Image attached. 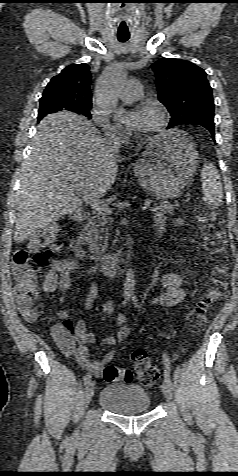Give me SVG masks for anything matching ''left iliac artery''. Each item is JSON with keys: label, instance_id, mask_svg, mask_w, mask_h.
Masks as SVG:
<instances>
[{"label": "left iliac artery", "instance_id": "44dca946", "mask_svg": "<svg viewBox=\"0 0 238 476\" xmlns=\"http://www.w3.org/2000/svg\"><path fill=\"white\" fill-rule=\"evenodd\" d=\"M164 358V381L167 382L171 387H172V381L170 379V365H169V359L166 355H163Z\"/></svg>", "mask_w": 238, "mask_h": 476}]
</instances>
